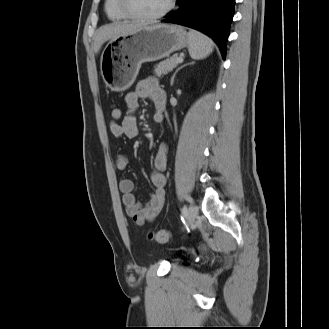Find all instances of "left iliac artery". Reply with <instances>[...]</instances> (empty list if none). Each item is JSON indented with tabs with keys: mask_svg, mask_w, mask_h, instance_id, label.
<instances>
[{
	"mask_svg": "<svg viewBox=\"0 0 329 329\" xmlns=\"http://www.w3.org/2000/svg\"><path fill=\"white\" fill-rule=\"evenodd\" d=\"M185 199L188 201V202H190V203H192L193 202V199L190 197V196H185Z\"/></svg>",
	"mask_w": 329,
	"mask_h": 329,
	"instance_id": "44dca946",
	"label": "left iliac artery"
}]
</instances>
